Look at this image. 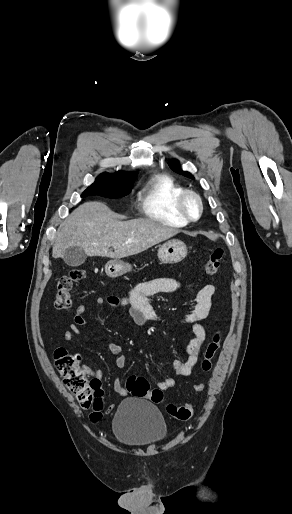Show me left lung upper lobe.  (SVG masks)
Segmentation results:
<instances>
[{"instance_id": "5c2ea615", "label": "left lung upper lobe", "mask_w": 292, "mask_h": 514, "mask_svg": "<svg viewBox=\"0 0 292 514\" xmlns=\"http://www.w3.org/2000/svg\"><path fill=\"white\" fill-rule=\"evenodd\" d=\"M168 164L171 167V169H173L175 172H177L179 174H182V175H184V176H186L188 178L194 179V177H193V175L191 173L184 172V171L181 170L180 164H179V162L177 160H175V159L174 160H170L168 162Z\"/></svg>"}]
</instances>
